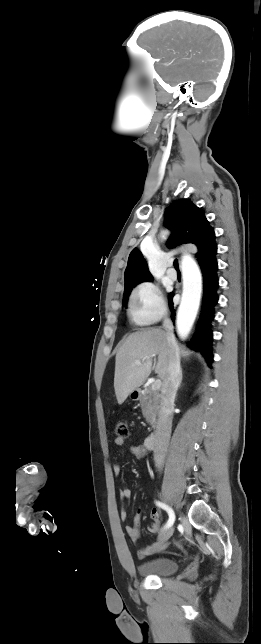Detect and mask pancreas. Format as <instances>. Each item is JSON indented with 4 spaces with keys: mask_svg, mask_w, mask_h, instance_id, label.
Wrapping results in <instances>:
<instances>
[{
    "mask_svg": "<svg viewBox=\"0 0 261 644\" xmlns=\"http://www.w3.org/2000/svg\"><path fill=\"white\" fill-rule=\"evenodd\" d=\"M157 404L158 397L155 392L150 388L146 389L145 395L141 398V408L143 416L150 425H153L155 422Z\"/></svg>",
    "mask_w": 261,
    "mask_h": 644,
    "instance_id": "1",
    "label": "pancreas"
}]
</instances>
